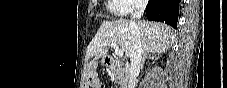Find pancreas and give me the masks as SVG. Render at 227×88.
<instances>
[{"mask_svg":"<svg viewBox=\"0 0 227 88\" xmlns=\"http://www.w3.org/2000/svg\"><path fill=\"white\" fill-rule=\"evenodd\" d=\"M112 76L115 80H117L118 83L123 85V87H126L127 79H128V73L127 70L120 66H113L111 67Z\"/></svg>","mask_w":227,"mask_h":88,"instance_id":"cf45deb5","label":"pancreas"}]
</instances>
